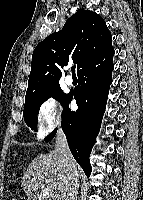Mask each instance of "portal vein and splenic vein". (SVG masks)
Wrapping results in <instances>:
<instances>
[{
  "label": "portal vein and splenic vein",
  "instance_id": "18ae733b",
  "mask_svg": "<svg viewBox=\"0 0 143 200\" xmlns=\"http://www.w3.org/2000/svg\"><path fill=\"white\" fill-rule=\"evenodd\" d=\"M42 194L45 197H50V190L45 185H42Z\"/></svg>",
  "mask_w": 143,
  "mask_h": 200
}]
</instances>
